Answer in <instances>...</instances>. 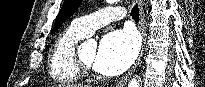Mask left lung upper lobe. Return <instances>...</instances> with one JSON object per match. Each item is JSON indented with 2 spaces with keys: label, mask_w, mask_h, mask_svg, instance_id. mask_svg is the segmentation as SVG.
Instances as JSON below:
<instances>
[{
  "label": "left lung upper lobe",
  "mask_w": 205,
  "mask_h": 87,
  "mask_svg": "<svg viewBox=\"0 0 205 87\" xmlns=\"http://www.w3.org/2000/svg\"><path fill=\"white\" fill-rule=\"evenodd\" d=\"M81 0H65L62 8L56 17L52 33L55 32L69 17L79 8Z\"/></svg>",
  "instance_id": "1"
}]
</instances>
